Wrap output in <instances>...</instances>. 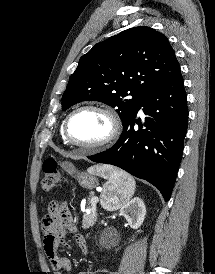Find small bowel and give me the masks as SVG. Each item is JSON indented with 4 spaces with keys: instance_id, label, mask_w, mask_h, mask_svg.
Returning a JSON list of instances; mask_svg holds the SVG:
<instances>
[{
    "instance_id": "1",
    "label": "small bowel",
    "mask_w": 215,
    "mask_h": 274,
    "mask_svg": "<svg viewBox=\"0 0 215 274\" xmlns=\"http://www.w3.org/2000/svg\"><path fill=\"white\" fill-rule=\"evenodd\" d=\"M42 231L44 235V251L49 259L54 274H62L64 271L69 272L72 269L71 261L58 254V248L65 244L67 233L74 235V240L79 250L85 254L87 244L84 236L79 233L77 224L70 213L69 209L60 203L54 202L48 208V214L42 220ZM107 272V269L101 268L96 271ZM79 274H95L89 272H80Z\"/></svg>"
}]
</instances>
